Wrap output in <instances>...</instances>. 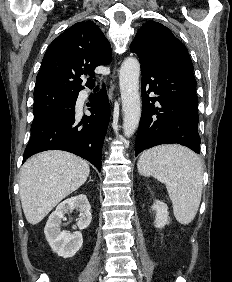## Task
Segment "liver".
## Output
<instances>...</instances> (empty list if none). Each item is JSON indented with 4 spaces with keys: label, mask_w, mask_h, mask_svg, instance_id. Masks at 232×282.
Masks as SVG:
<instances>
[{
    "label": "liver",
    "mask_w": 232,
    "mask_h": 282,
    "mask_svg": "<svg viewBox=\"0 0 232 282\" xmlns=\"http://www.w3.org/2000/svg\"><path fill=\"white\" fill-rule=\"evenodd\" d=\"M88 163L65 151L51 150L29 158L21 169L20 199L30 224H37L66 196L81 187Z\"/></svg>",
    "instance_id": "1"
}]
</instances>
